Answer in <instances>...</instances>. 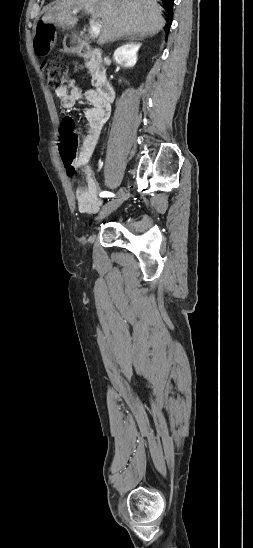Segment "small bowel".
Listing matches in <instances>:
<instances>
[{"label":"small bowel","mask_w":253,"mask_h":548,"mask_svg":"<svg viewBox=\"0 0 253 548\" xmlns=\"http://www.w3.org/2000/svg\"><path fill=\"white\" fill-rule=\"evenodd\" d=\"M55 94L60 99L61 105L65 109L72 108L82 97L81 92L77 88L74 87L69 89L67 86L56 89ZM85 98L91 105V107L85 111L88 131L78 156L74 161V166L83 169L86 183L77 188L75 199L77 208L80 212L93 214L99 210L103 201L98 197V195H100V187L95 178L94 169L90 166L89 162L103 126L110 116L111 105L110 102L103 99L93 90L87 91L85 93ZM69 169L70 167L68 168V171Z\"/></svg>","instance_id":"c3829d8e"}]
</instances>
